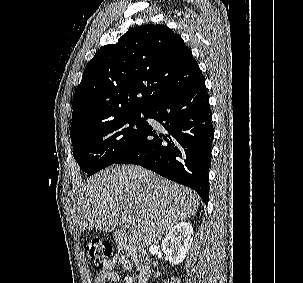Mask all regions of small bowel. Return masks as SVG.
<instances>
[{
  "label": "small bowel",
  "mask_w": 303,
  "mask_h": 283,
  "mask_svg": "<svg viewBox=\"0 0 303 283\" xmlns=\"http://www.w3.org/2000/svg\"><path fill=\"white\" fill-rule=\"evenodd\" d=\"M117 265H122L124 269L131 270L132 265L129 260L121 255H114L108 260L104 268L95 276V283H106L107 281H119V275L114 271ZM125 283H139L137 277H128Z\"/></svg>",
  "instance_id": "small-bowel-1"
}]
</instances>
